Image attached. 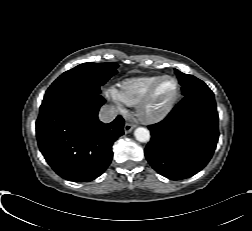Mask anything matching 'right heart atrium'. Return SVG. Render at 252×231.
Masks as SVG:
<instances>
[{"mask_svg": "<svg viewBox=\"0 0 252 231\" xmlns=\"http://www.w3.org/2000/svg\"><path fill=\"white\" fill-rule=\"evenodd\" d=\"M111 99L118 105V106H121V102L120 100L118 99L117 95H116V92L115 91H110L109 93Z\"/></svg>", "mask_w": 252, "mask_h": 231, "instance_id": "obj_1", "label": "right heart atrium"}]
</instances>
